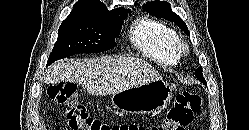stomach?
<instances>
[{"label": "stomach", "instance_id": "1", "mask_svg": "<svg viewBox=\"0 0 249 130\" xmlns=\"http://www.w3.org/2000/svg\"><path fill=\"white\" fill-rule=\"evenodd\" d=\"M172 96L173 87L159 79L112 94L111 101L124 113L151 114L166 107Z\"/></svg>", "mask_w": 249, "mask_h": 130}]
</instances>
